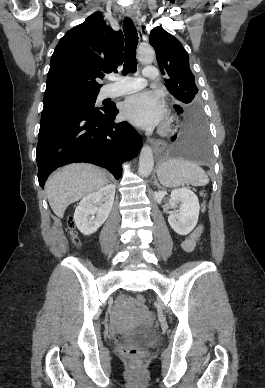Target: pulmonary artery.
I'll return each mask as SVG.
<instances>
[{
	"label": "pulmonary artery",
	"instance_id": "e3ab8cb5",
	"mask_svg": "<svg viewBox=\"0 0 265 388\" xmlns=\"http://www.w3.org/2000/svg\"><path fill=\"white\" fill-rule=\"evenodd\" d=\"M155 64H146L144 74L147 76L146 79H134L133 75H116L115 81L119 83H113V90L111 92L114 96L128 94H139L143 86H146L148 82L156 81L157 71L155 70ZM129 82V83H128Z\"/></svg>",
	"mask_w": 265,
	"mask_h": 388
}]
</instances>
